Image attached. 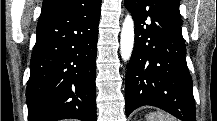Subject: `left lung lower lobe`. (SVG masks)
Masks as SVG:
<instances>
[{
  "instance_id": "1",
  "label": "left lung lower lobe",
  "mask_w": 217,
  "mask_h": 121,
  "mask_svg": "<svg viewBox=\"0 0 217 121\" xmlns=\"http://www.w3.org/2000/svg\"><path fill=\"white\" fill-rule=\"evenodd\" d=\"M125 6L135 25V44L126 77V115L151 105L182 121H195L179 2L125 0Z\"/></svg>"
}]
</instances>
